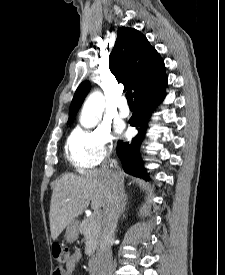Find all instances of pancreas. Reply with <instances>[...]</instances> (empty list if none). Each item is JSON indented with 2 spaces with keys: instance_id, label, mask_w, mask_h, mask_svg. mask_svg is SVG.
Masks as SVG:
<instances>
[{
  "instance_id": "cf45deb5",
  "label": "pancreas",
  "mask_w": 225,
  "mask_h": 275,
  "mask_svg": "<svg viewBox=\"0 0 225 275\" xmlns=\"http://www.w3.org/2000/svg\"><path fill=\"white\" fill-rule=\"evenodd\" d=\"M101 224L94 217H89L82 221L79 230L86 240L85 253L91 256L99 243Z\"/></svg>"
}]
</instances>
